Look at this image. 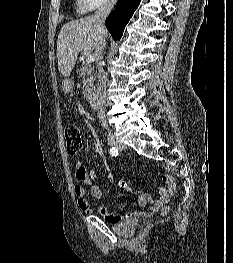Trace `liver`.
I'll return each mask as SVG.
<instances>
[{"label": "liver", "mask_w": 233, "mask_h": 263, "mask_svg": "<svg viewBox=\"0 0 233 263\" xmlns=\"http://www.w3.org/2000/svg\"><path fill=\"white\" fill-rule=\"evenodd\" d=\"M98 30L91 16L70 21L63 25L57 40L58 69L68 77L75 65L78 54L88 55L95 49Z\"/></svg>", "instance_id": "liver-1"}]
</instances>
